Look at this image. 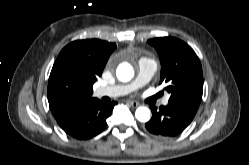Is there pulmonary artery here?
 Segmentation results:
<instances>
[{"instance_id":"obj_1","label":"pulmonary artery","mask_w":249,"mask_h":165,"mask_svg":"<svg viewBox=\"0 0 249 165\" xmlns=\"http://www.w3.org/2000/svg\"><path fill=\"white\" fill-rule=\"evenodd\" d=\"M156 64L149 58H141L138 63V74L134 80L125 84L101 86L97 88V96H124L146 85L156 72ZM163 105L168 104V97L162 100Z\"/></svg>"}]
</instances>
